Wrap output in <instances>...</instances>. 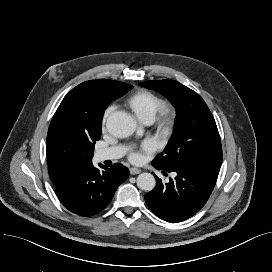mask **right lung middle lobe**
I'll list each match as a JSON object with an SVG mask.
<instances>
[{"mask_svg":"<svg viewBox=\"0 0 272 272\" xmlns=\"http://www.w3.org/2000/svg\"><path fill=\"white\" fill-rule=\"evenodd\" d=\"M130 89H132V86H131V85H129V84H124V85L121 87V89L118 91V94H117V97H116V98L121 97V96L124 95L127 91H129ZM99 139H100V136H99V138H97V140H99ZM95 141H96V140H95ZM95 141H94V143H95ZM91 149H92V151H94V145H92Z\"/></svg>","mask_w":272,"mask_h":272,"instance_id":"right-lung-middle-lobe-1","label":"right lung middle lobe"}]
</instances>
